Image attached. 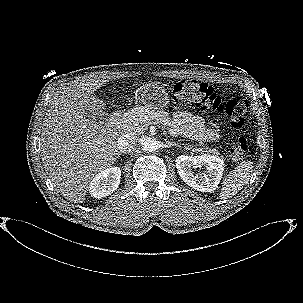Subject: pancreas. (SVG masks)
I'll use <instances>...</instances> for the list:
<instances>
[{"label": "pancreas", "mask_w": 303, "mask_h": 303, "mask_svg": "<svg viewBox=\"0 0 303 303\" xmlns=\"http://www.w3.org/2000/svg\"><path fill=\"white\" fill-rule=\"evenodd\" d=\"M154 120L156 123L161 124L164 128L170 129L173 125V121L168 112L164 110H153L144 107H137L128 111L121 121V126L124 131L141 132L151 121ZM187 149H192L189 146ZM194 152L207 153L218 157L219 152L216 149L206 148L205 150L201 147L193 148Z\"/></svg>", "instance_id": "pancreas-1"}]
</instances>
